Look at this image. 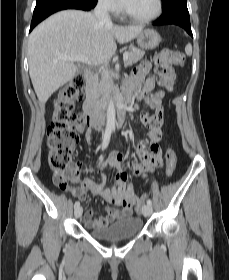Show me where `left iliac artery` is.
<instances>
[{
  "mask_svg": "<svg viewBox=\"0 0 229 280\" xmlns=\"http://www.w3.org/2000/svg\"><path fill=\"white\" fill-rule=\"evenodd\" d=\"M147 204H148V205H152L151 199H148V200H147Z\"/></svg>",
  "mask_w": 229,
  "mask_h": 280,
  "instance_id": "1",
  "label": "left iliac artery"
}]
</instances>
